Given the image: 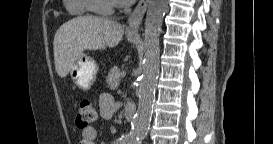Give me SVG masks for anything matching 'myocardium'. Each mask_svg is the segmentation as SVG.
<instances>
[{
  "label": "myocardium",
  "mask_w": 273,
  "mask_h": 144,
  "mask_svg": "<svg viewBox=\"0 0 273 144\" xmlns=\"http://www.w3.org/2000/svg\"><path fill=\"white\" fill-rule=\"evenodd\" d=\"M89 10L98 14H111L115 11L116 6L112 2L106 0H89Z\"/></svg>",
  "instance_id": "1"
}]
</instances>
